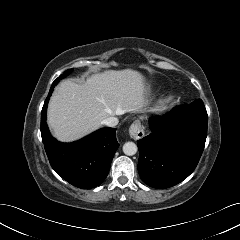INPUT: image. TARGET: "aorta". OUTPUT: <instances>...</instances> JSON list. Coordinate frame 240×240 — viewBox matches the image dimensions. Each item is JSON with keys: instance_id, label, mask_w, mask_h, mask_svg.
I'll return each mask as SVG.
<instances>
[{"instance_id": "762f6f07", "label": "aorta", "mask_w": 240, "mask_h": 240, "mask_svg": "<svg viewBox=\"0 0 240 240\" xmlns=\"http://www.w3.org/2000/svg\"><path fill=\"white\" fill-rule=\"evenodd\" d=\"M137 145L134 142H126L123 145V152L125 155L133 156L137 153Z\"/></svg>"}]
</instances>
